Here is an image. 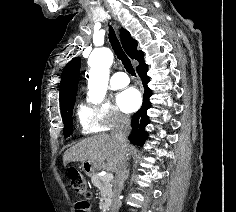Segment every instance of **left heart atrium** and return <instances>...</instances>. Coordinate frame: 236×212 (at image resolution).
I'll return each mask as SVG.
<instances>
[{"instance_id":"1","label":"left heart atrium","mask_w":236,"mask_h":212,"mask_svg":"<svg viewBox=\"0 0 236 212\" xmlns=\"http://www.w3.org/2000/svg\"><path fill=\"white\" fill-rule=\"evenodd\" d=\"M117 102L124 112L131 113L139 108L141 104V94L136 88L130 87L119 94Z\"/></svg>"}]
</instances>
